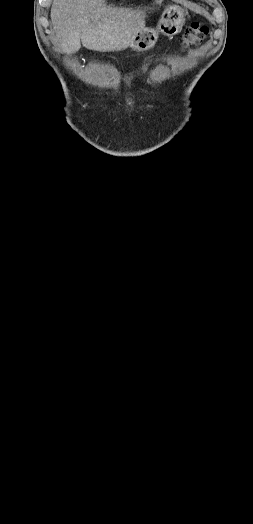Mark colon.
Wrapping results in <instances>:
<instances>
[{
	"mask_svg": "<svg viewBox=\"0 0 253 524\" xmlns=\"http://www.w3.org/2000/svg\"><path fill=\"white\" fill-rule=\"evenodd\" d=\"M208 34V28L198 22L192 23L185 31L184 47H195L201 44Z\"/></svg>",
	"mask_w": 253,
	"mask_h": 524,
	"instance_id": "obj_1",
	"label": "colon"
}]
</instances>
